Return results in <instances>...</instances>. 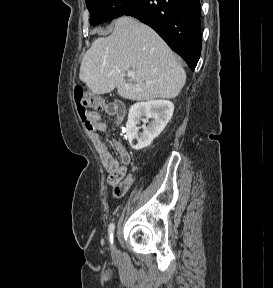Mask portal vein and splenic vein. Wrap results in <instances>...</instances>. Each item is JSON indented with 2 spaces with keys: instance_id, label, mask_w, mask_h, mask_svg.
I'll list each match as a JSON object with an SVG mask.
<instances>
[{
  "instance_id": "1",
  "label": "portal vein and splenic vein",
  "mask_w": 273,
  "mask_h": 288,
  "mask_svg": "<svg viewBox=\"0 0 273 288\" xmlns=\"http://www.w3.org/2000/svg\"><path fill=\"white\" fill-rule=\"evenodd\" d=\"M134 75H135V73L133 71H128L127 72V76L130 77V78L133 77Z\"/></svg>"
}]
</instances>
